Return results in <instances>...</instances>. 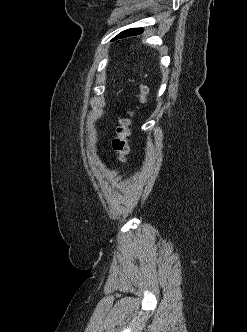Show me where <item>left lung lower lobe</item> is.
Returning a JSON list of instances; mask_svg holds the SVG:
<instances>
[{"label": "left lung lower lobe", "mask_w": 247, "mask_h": 332, "mask_svg": "<svg viewBox=\"0 0 247 332\" xmlns=\"http://www.w3.org/2000/svg\"><path fill=\"white\" fill-rule=\"evenodd\" d=\"M143 30L141 28H131L128 30H125L123 32H121L118 35V38H125V37H130V36H135L138 35L142 32Z\"/></svg>", "instance_id": "0a47b994"}]
</instances>
